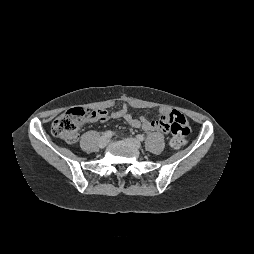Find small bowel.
Instances as JSON below:
<instances>
[{
	"mask_svg": "<svg viewBox=\"0 0 254 254\" xmlns=\"http://www.w3.org/2000/svg\"><path fill=\"white\" fill-rule=\"evenodd\" d=\"M177 113L178 112L173 111L170 107L162 105L158 108L157 119L149 120L144 116L134 117L128 112L127 106L123 105L121 109L113 112L99 110V117L95 120L107 121L110 119L121 118L134 128H141L145 131H158L167 133L169 131L171 119Z\"/></svg>",
	"mask_w": 254,
	"mask_h": 254,
	"instance_id": "1",
	"label": "small bowel"
}]
</instances>
